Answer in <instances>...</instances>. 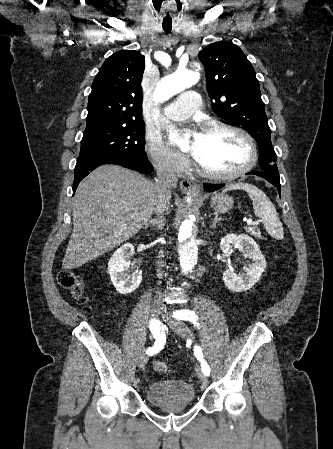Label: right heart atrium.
I'll list each match as a JSON object with an SVG mask.
<instances>
[{
    "label": "right heart atrium",
    "mask_w": 333,
    "mask_h": 449,
    "mask_svg": "<svg viewBox=\"0 0 333 449\" xmlns=\"http://www.w3.org/2000/svg\"><path fill=\"white\" fill-rule=\"evenodd\" d=\"M145 148L153 166L165 173L182 175L188 168V161L166 144L157 136L147 135Z\"/></svg>",
    "instance_id": "d8ad5b80"
}]
</instances>
